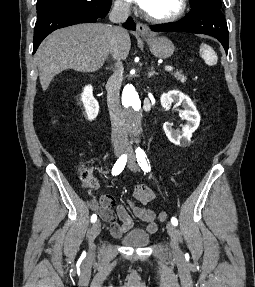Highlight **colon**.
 <instances>
[{"instance_id": "5ec220e1", "label": "colon", "mask_w": 255, "mask_h": 287, "mask_svg": "<svg viewBox=\"0 0 255 287\" xmlns=\"http://www.w3.org/2000/svg\"><path fill=\"white\" fill-rule=\"evenodd\" d=\"M80 180L85 187H91L94 184V177L92 172L86 166H81L79 170ZM168 218V214L164 211L158 213V219L165 221Z\"/></svg>"}]
</instances>
